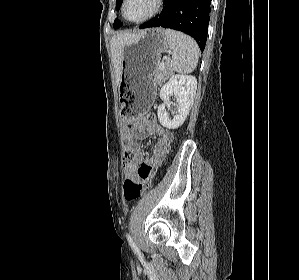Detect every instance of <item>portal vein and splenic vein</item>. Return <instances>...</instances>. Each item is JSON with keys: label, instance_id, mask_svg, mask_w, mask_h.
<instances>
[{"label": "portal vein and splenic vein", "instance_id": "obj_1", "mask_svg": "<svg viewBox=\"0 0 299 280\" xmlns=\"http://www.w3.org/2000/svg\"><path fill=\"white\" fill-rule=\"evenodd\" d=\"M164 68H165V63L162 62V63L160 64V70H164Z\"/></svg>", "mask_w": 299, "mask_h": 280}]
</instances>
